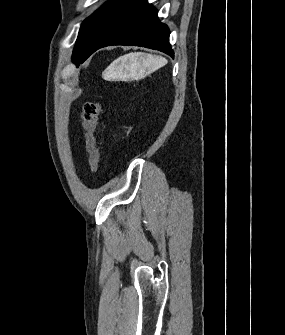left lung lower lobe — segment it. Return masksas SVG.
Here are the masks:
<instances>
[{
    "mask_svg": "<svg viewBox=\"0 0 285 335\" xmlns=\"http://www.w3.org/2000/svg\"><path fill=\"white\" fill-rule=\"evenodd\" d=\"M170 31L147 0H111L88 28L79 51V64L97 49L133 45L160 50L172 58Z\"/></svg>",
    "mask_w": 285,
    "mask_h": 335,
    "instance_id": "obj_1",
    "label": "left lung lower lobe"
}]
</instances>
